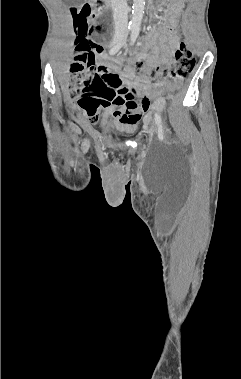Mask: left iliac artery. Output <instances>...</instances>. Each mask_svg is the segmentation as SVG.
Here are the masks:
<instances>
[{"label": "left iliac artery", "instance_id": "44dca946", "mask_svg": "<svg viewBox=\"0 0 241 379\" xmlns=\"http://www.w3.org/2000/svg\"><path fill=\"white\" fill-rule=\"evenodd\" d=\"M138 35H139V28L136 27L132 30V33H131V42H130L131 45L135 43ZM155 122L158 127V137L160 140H163L164 131H163V126H162V119L159 113H155Z\"/></svg>", "mask_w": 241, "mask_h": 379}]
</instances>
